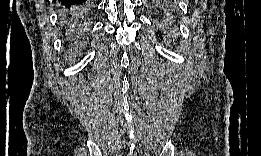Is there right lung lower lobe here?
Here are the masks:
<instances>
[{
  "mask_svg": "<svg viewBox=\"0 0 261 156\" xmlns=\"http://www.w3.org/2000/svg\"><path fill=\"white\" fill-rule=\"evenodd\" d=\"M62 17L70 23H82L89 12L90 2L87 0H62Z\"/></svg>",
  "mask_w": 261,
  "mask_h": 156,
  "instance_id": "1",
  "label": "right lung lower lobe"
}]
</instances>
